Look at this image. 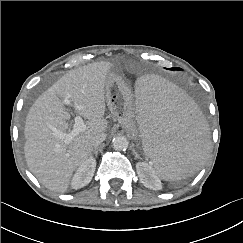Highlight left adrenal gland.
<instances>
[{"mask_svg":"<svg viewBox=\"0 0 243 243\" xmlns=\"http://www.w3.org/2000/svg\"><path fill=\"white\" fill-rule=\"evenodd\" d=\"M133 153H134V155H135V158H140L139 154L136 152L135 149H133Z\"/></svg>","mask_w":243,"mask_h":243,"instance_id":"a2214340","label":"left adrenal gland"}]
</instances>
